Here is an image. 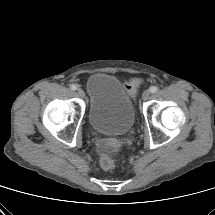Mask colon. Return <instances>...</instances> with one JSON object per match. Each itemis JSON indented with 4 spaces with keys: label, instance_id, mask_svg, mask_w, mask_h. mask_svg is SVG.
<instances>
[{
    "label": "colon",
    "instance_id": "colon-1",
    "mask_svg": "<svg viewBox=\"0 0 215 215\" xmlns=\"http://www.w3.org/2000/svg\"><path fill=\"white\" fill-rule=\"evenodd\" d=\"M138 85H139V82L137 80H131L125 85V88L129 94L134 95L136 93V89ZM107 145L111 151L108 153L102 154L100 158V165L105 170H111L115 167V164H116L114 154L120 148V141L116 138H110L107 141Z\"/></svg>",
    "mask_w": 215,
    "mask_h": 215
}]
</instances>
